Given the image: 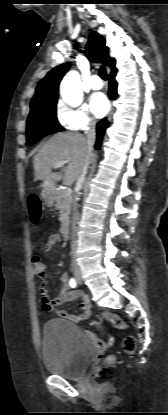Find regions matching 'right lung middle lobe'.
I'll list each match as a JSON object with an SVG mask.
<instances>
[{
  "instance_id": "right-lung-middle-lobe-1",
  "label": "right lung middle lobe",
  "mask_w": 168,
  "mask_h": 415,
  "mask_svg": "<svg viewBox=\"0 0 168 415\" xmlns=\"http://www.w3.org/2000/svg\"><path fill=\"white\" fill-rule=\"evenodd\" d=\"M56 117V102L31 110L27 119V145L30 146L42 137L63 131Z\"/></svg>"
}]
</instances>
